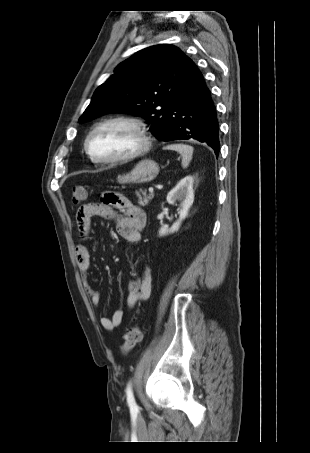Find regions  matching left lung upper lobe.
Segmentation results:
<instances>
[{"label": "left lung upper lobe", "instance_id": "5c2ea615", "mask_svg": "<svg viewBox=\"0 0 310 453\" xmlns=\"http://www.w3.org/2000/svg\"><path fill=\"white\" fill-rule=\"evenodd\" d=\"M191 62L184 52L169 44L138 51L120 63L114 74L96 89L79 122L107 113H132L151 123L150 130L160 139Z\"/></svg>", "mask_w": 310, "mask_h": 453}]
</instances>
